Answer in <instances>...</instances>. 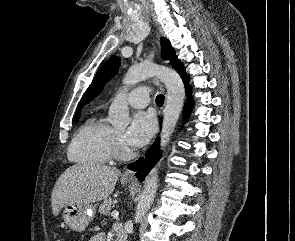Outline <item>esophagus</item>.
<instances>
[{
    "label": "esophagus",
    "instance_id": "obj_1",
    "mask_svg": "<svg viewBox=\"0 0 295 241\" xmlns=\"http://www.w3.org/2000/svg\"><path fill=\"white\" fill-rule=\"evenodd\" d=\"M157 37L159 38V35H157ZM134 176H135V172L134 171L127 170V171L124 172V174H123L122 177L125 178V179H133Z\"/></svg>",
    "mask_w": 295,
    "mask_h": 241
}]
</instances>
